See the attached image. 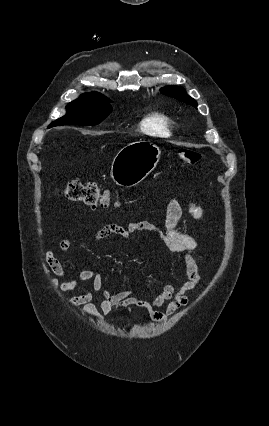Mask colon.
<instances>
[{
    "mask_svg": "<svg viewBox=\"0 0 269 426\" xmlns=\"http://www.w3.org/2000/svg\"><path fill=\"white\" fill-rule=\"evenodd\" d=\"M177 156L185 165H196L200 160L199 152L191 149H179ZM61 195L69 201L83 203L93 208H105L109 203L108 190L93 181L70 180L61 190Z\"/></svg>",
    "mask_w": 269,
    "mask_h": 426,
    "instance_id": "obj_1",
    "label": "colon"
}]
</instances>
